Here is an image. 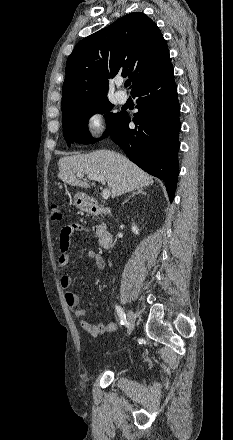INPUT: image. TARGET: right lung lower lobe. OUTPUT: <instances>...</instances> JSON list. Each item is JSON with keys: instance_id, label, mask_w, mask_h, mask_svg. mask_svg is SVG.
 Returning a JSON list of instances; mask_svg holds the SVG:
<instances>
[{"instance_id": "right-lung-lower-lobe-1", "label": "right lung lower lobe", "mask_w": 233, "mask_h": 440, "mask_svg": "<svg viewBox=\"0 0 233 440\" xmlns=\"http://www.w3.org/2000/svg\"><path fill=\"white\" fill-rule=\"evenodd\" d=\"M131 94L137 98L138 112L132 118L124 113L111 138L132 162L165 181L172 202L179 172L180 130V106L173 66ZM131 120L135 129L128 126Z\"/></svg>"}]
</instances>
